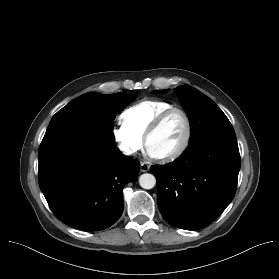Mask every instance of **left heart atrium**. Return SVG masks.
I'll use <instances>...</instances> for the list:
<instances>
[{"label":"left heart atrium","instance_id":"obj_1","mask_svg":"<svg viewBox=\"0 0 279 279\" xmlns=\"http://www.w3.org/2000/svg\"><path fill=\"white\" fill-rule=\"evenodd\" d=\"M148 153H149L151 156L156 157V155H155L150 149H148Z\"/></svg>","mask_w":279,"mask_h":279}]
</instances>
